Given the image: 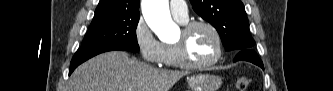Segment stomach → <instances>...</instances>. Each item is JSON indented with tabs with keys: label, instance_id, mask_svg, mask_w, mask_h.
Wrapping results in <instances>:
<instances>
[{
	"label": "stomach",
	"instance_id": "stomach-1",
	"mask_svg": "<svg viewBox=\"0 0 333 91\" xmlns=\"http://www.w3.org/2000/svg\"><path fill=\"white\" fill-rule=\"evenodd\" d=\"M191 91H217L222 79L213 74H197L188 79Z\"/></svg>",
	"mask_w": 333,
	"mask_h": 91
}]
</instances>
